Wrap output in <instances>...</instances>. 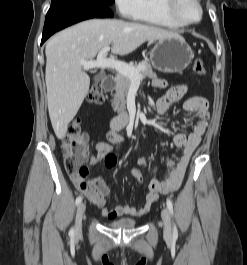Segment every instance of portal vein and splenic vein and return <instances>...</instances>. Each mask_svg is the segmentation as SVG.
Wrapping results in <instances>:
<instances>
[{
    "instance_id": "portal-vein-and-splenic-vein-1",
    "label": "portal vein and splenic vein",
    "mask_w": 247,
    "mask_h": 265,
    "mask_svg": "<svg viewBox=\"0 0 247 265\" xmlns=\"http://www.w3.org/2000/svg\"><path fill=\"white\" fill-rule=\"evenodd\" d=\"M110 50V46L102 48L97 56L96 60L91 61H81V65L84 70L94 69V68H110L115 69L120 74L129 77L132 80H140L139 69L128 65L125 62L115 60L113 58H106L105 55Z\"/></svg>"
}]
</instances>
